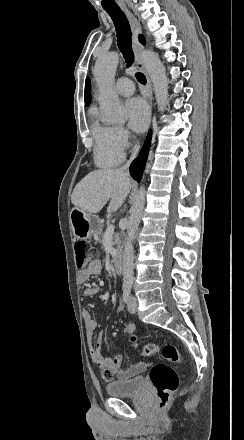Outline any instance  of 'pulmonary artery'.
Instances as JSON below:
<instances>
[{"label": "pulmonary artery", "mask_w": 244, "mask_h": 440, "mask_svg": "<svg viewBox=\"0 0 244 440\" xmlns=\"http://www.w3.org/2000/svg\"><path fill=\"white\" fill-rule=\"evenodd\" d=\"M116 89L122 96H132L134 93V83L131 82V75H118Z\"/></svg>", "instance_id": "obj_1"}]
</instances>
